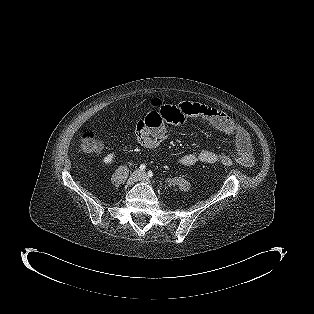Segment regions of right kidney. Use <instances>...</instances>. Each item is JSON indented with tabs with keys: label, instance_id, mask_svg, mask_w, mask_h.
Returning <instances> with one entry per match:
<instances>
[{
	"label": "right kidney",
	"instance_id": "1",
	"mask_svg": "<svg viewBox=\"0 0 314 314\" xmlns=\"http://www.w3.org/2000/svg\"><path fill=\"white\" fill-rule=\"evenodd\" d=\"M114 157H115V155L113 153H110V154H108L107 156L104 157L103 162L105 164H109L110 165L111 163H113Z\"/></svg>",
	"mask_w": 314,
	"mask_h": 314
}]
</instances>
